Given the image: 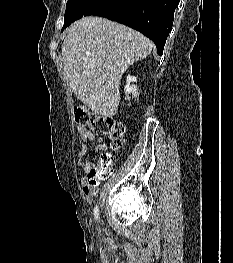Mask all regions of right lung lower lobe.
<instances>
[{"instance_id": "obj_1", "label": "right lung lower lobe", "mask_w": 233, "mask_h": 263, "mask_svg": "<svg viewBox=\"0 0 233 263\" xmlns=\"http://www.w3.org/2000/svg\"><path fill=\"white\" fill-rule=\"evenodd\" d=\"M179 1L122 0L112 13L103 15V17L143 33L155 43L158 54L162 55Z\"/></svg>"}]
</instances>
